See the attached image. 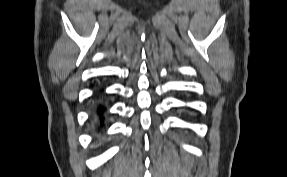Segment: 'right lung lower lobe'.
<instances>
[{
    "mask_svg": "<svg viewBox=\"0 0 287 177\" xmlns=\"http://www.w3.org/2000/svg\"><path fill=\"white\" fill-rule=\"evenodd\" d=\"M105 112V107L102 105V104H99L97 107H96V110H95V113L97 115V117L99 118V121H100V127L98 128V131L101 130V127L104 125V122H103V114Z\"/></svg>",
    "mask_w": 287,
    "mask_h": 177,
    "instance_id": "obj_1",
    "label": "right lung lower lobe"
}]
</instances>
